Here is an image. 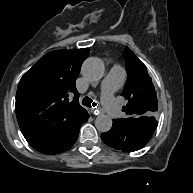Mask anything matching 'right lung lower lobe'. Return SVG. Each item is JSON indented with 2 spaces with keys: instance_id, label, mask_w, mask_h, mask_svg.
<instances>
[{
  "instance_id": "1",
  "label": "right lung lower lobe",
  "mask_w": 193,
  "mask_h": 193,
  "mask_svg": "<svg viewBox=\"0 0 193 193\" xmlns=\"http://www.w3.org/2000/svg\"><path fill=\"white\" fill-rule=\"evenodd\" d=\"M80 129V128H79ZM79 129L74 133V135L68 139L63 145L57 147V148H54V149H50V150H46V151H43V153H46V154H56V153H60V152H63L65 150H67L68 148H70L74 143L75 141L77 140V137H78V134H79Z\"/></svg>"
}]
</instances>
